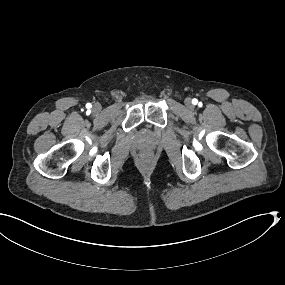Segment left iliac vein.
I'll use <instances>...</instances> for the list:
<instances>
[{"instance_id": "obj_1", "label": "left iliac vein", "mask_w": 285, "mask_h": 285, "mask_svg": "<svg viewBox=\"0 0 285 285\" xmlns=\"http://www.w3.org/2000/svg\"><path fill=\"white\" fill-rule=\"evenodd\" d=\"M186 106L189 109H193V105H192V102H191L190 98L186 99Z\"/></svg>"}]
</instances>
